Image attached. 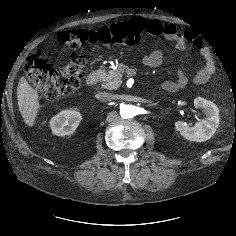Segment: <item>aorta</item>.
Segmentation results:
<instances>
[{
  "mask_svg": "<svg viewBox=\"0 0 236 236\" xmlns=\"http://www.w3.org/2000/svg\"><path fill=\"white\" fill-rule=\"evenodd\" d=\"M136 114V108L133 105L127 104L120 107V115L124 119L133 118Z\"/></svg>",
  "mask_w": 236,
  "mask_h": 236,
  "instance_id": "762f6f07",
  "label": "aorta"
}]
</instances>
